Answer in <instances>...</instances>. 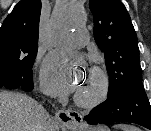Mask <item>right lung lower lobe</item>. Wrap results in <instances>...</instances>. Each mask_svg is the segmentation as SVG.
<instances>
[{
	"mask_svg": "<svg viewBox=\"0 0 151 131\" xmlns=\"http://www.w3.org/2000/svg\"><path fill=\"white\" fill-rule=\"evenodd\" d=\"M5 83H6V80L1 78L0 79V88H5V86H4ZM20 88L22 90H24V91H27V92L31 91L33 89V80H32V77L30 79L23 80Z\"/></svg>",
	"mask_w": 151,
	"mask_h": 131,
	"instance_id": "1",
	"label": "right lung lower lobe"
}]
</instances>
